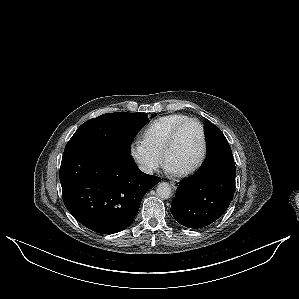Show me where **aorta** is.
<instances>
[{
  "instance_id": "762f6f07",
  "label": "aorta",
  "mask_w": 299,
  "mask_h": 299,
  "mask_svg": "<svg viewBox=\"0 0 299 299\" xmlns=\"http://www.w3.org/2000/svg\"><path fill=\"white\" fill-rule=\"evenodd\" d=\"M156 193L161 199H168L172 195L171 186L167 182H162L157 185Z\"/></svg>"
}]
</instances>
